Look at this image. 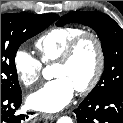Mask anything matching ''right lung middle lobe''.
Masks as SVG:
<instances>
[{"mask_svg":"<svg viewBox=\"0 0 123 123\" xmlns=\"http://www.w3.org/2000/svg\"><path fill=\"white\" fill-rule=\"evenodd\" d=\"M55 21L54 14L10 13L1 15V93L21 91L15 66L19 46Z\"/></svg>","mask_w":123,"mask_h":123,"instance_id":"obj_1","label":"right lung middle lobe"}]
</instances>
